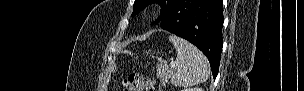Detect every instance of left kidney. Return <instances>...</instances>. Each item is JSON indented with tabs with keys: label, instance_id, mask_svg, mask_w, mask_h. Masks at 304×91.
Instances as JSON below:
<instances>
[{
	"label": "left kidney",
	"instance_id": "left-kidney-1",
	"mask_svg": "<svg viewBox=\"0 0 304 91\" xmlns=\"http://www.w3.org/2000/svg\"><path fill=\"white\" fill-rule=\"evenodd\" d=\"M183 91H204L202 88H188L184 89Z\"/></svg>",
	"mask_w": 304,
	"mask_h": 91
}]
</instances>
